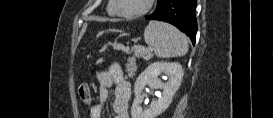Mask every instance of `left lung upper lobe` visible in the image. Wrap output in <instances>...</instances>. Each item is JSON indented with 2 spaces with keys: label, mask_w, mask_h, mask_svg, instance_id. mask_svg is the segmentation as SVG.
Instances as JSON below:
<instances>
[{
  "label": "left lung upper lobe",
  "mask_w": 273,
  "mask_h": 118,
  "mask_svg": "<svg viewBox=\"0 0 273 118\" xmlns=\"http://www.w3.org/2000/svg\"><path fill=\"white\" fill-rule=\"evenodd\" d=\"M161 2V0H158L157 5Z\"/></svg>",
  "instance_id": "left-lung-upper-lobe-1"
}]
</instances>
